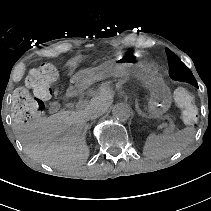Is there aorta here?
Returning <instances> with one entry per match:
<instances>
[{"label":"aorta","instance_id":"obj_1","mask_svg":"<svg viewBox=\"0 0 211 211\" xmlns=\"http://www.w3.org/2000/svg\"><path fill=\"white\" fill-rule=\"evenodd\" d=\"M112 115L119 121H126L130 118V107L125 103H118L112 109Z\"/></svg>","mask_w":211,"mask_h":211}]
</instances>
